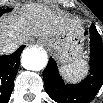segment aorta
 <instances>
[{
  "label": "aorta",
  "instance_id": "aorta-1",
  "mask_svg": "<svg viewBox=\"0 0 103 103\" xmlns=\"http://www.w3.org/2000/svg\"><path fill=\"white\" fill-rule=\"evenodd\" d=\"M21 62L25 69L39 71L47 64V54L37 48H26L22 53Z\"/></svg>",
  "mask_w": 103,
  "mask_h": 103
}]
</instances>
